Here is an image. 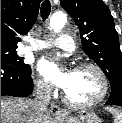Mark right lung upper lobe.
I'll list each match as a JSON object with an SVG mask.
<instances>
[{
    "mask_svg": "<svg viewBox=\"0 0 122 123\" xmlns=\"http://www.w3.org/2000/svg\"><path fill=\"white\" fill-rule=\"evenodd\" d=\"M41 0H1V49H16L35 23Z\"/></svg>",
    "mask_w": 122,
    "mask_h": 123,
    "instance_id": "cb5924a9",
    "label": "right lung upper lobe"
}]
</instances>
